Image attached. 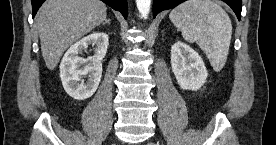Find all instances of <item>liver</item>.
Here are the masks:
<instances>
[{"instance_id": "obj_1", "label": "liver", "mask_w": 276, "mask_h": 145, "mask_svg": "<svg viewBox=\"0 0 276 145\" xmlns=\"http://www.w3.org/2000/svg\"><path fill=\"white\" fill-rule=\"evenodd\" d=\"M107 16L100 0H47L37 15L41 51L46 66L53 70L75 41L99 26Z\"/></svg>"}]
</instances>
